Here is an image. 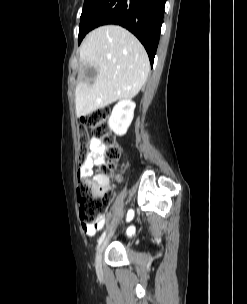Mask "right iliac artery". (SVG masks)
Returning a JSON list of instances; mask_svg holds the SVG:
<instances>
[{
	"mask_svg": "<svg viewBox=\"0 0 247 304\" xmlns=\"http://www.w3.org/2000/svg\"><path fill=\"white\" fill-rule=\"evenodd\" d=\"M106 236V231L103 232V234L100 236V238L98 239V247L101 245V243L103 242L104 238Z\"/></svg>",
	"mask_w": 247,
	"mask_h": 304,
	"instance_id": "right-iliac-artery-1",
	"label": "right iliac artery"
}]
</instances>
